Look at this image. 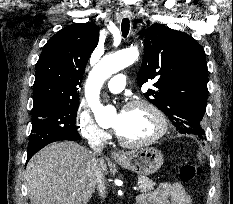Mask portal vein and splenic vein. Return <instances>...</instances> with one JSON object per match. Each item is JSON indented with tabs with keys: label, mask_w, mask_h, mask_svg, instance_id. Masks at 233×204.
Here are the masks:
<instances>
[{
	"label": "portal vein and splenic vein",
	"mask_w": 233,
	"mask_h": 204,
	"mask_svg": "<svg viewBox=\"0 0 233 204\" xmlns=\"http://www.w3.org/2000/svg\"><path fill=\"white\" fill-rule=\"evenodd\" d=\"M139 189H140V186L137 187V190H139Z\"/></svg>",
	"instance_id": "1"
}]
</instances>
